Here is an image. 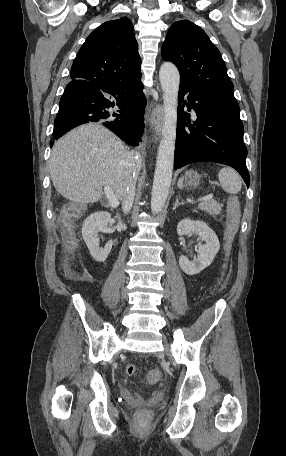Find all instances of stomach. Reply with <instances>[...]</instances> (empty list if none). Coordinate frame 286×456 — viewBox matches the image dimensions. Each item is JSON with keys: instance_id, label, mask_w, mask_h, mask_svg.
I'll return each mask as SVG.
<instances>
[{"instance_id": "stomach-1", "label": "stomach", "mask_w": 286, "mask_h": 456, "mask_svg": "<svg viewBox=\"0 0 286 456\" xmlns=\"http://www.w3.org/2000/svg\"><path fill=\"white\" fill-rule=\"evenodd\" d=\"M185 183L190 187H197L200 183V176L196 171H187L185 173Z\"/></svg>"}]
</instances>
